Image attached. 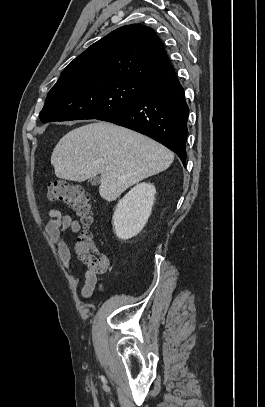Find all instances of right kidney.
<instances>
[{
  "instance_id": "right-kidney-1",
  "label": "right kidney",
  "mask_w": 265,
  "mask_h": 407,
  "mask_svg": "<svg viewBox=\"0 0 265 407\" xmlns=\"http://www.w3.org/2000/svg\"><path fill=\"white\" fill-rule=\"evenodd\" d=\"M155 193L153 184L140 183L118 202L112 222L119 239L128 240L141 232L151 215Z\"/></svg>"
}]
</instances>
